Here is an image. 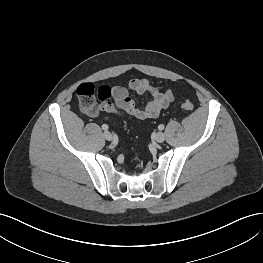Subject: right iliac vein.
<instances>
[{
    "label": "right iliac vein",
    "mask_w": 263,
    "mask_h": 263,
    "mask_svg": "<svg viewBox=\"0 0 263 263\" xmlns=\"http://www.w3.org/2000/svg\"><path fill=\"white\" fill-rule=\"evenodd\" d=\"M103 137L108 141H111L113 139V135L109 131H105L103 133Z\"/></svg>",
    "instance_id": "right-iliac-vein-1"
}]
</instances>
